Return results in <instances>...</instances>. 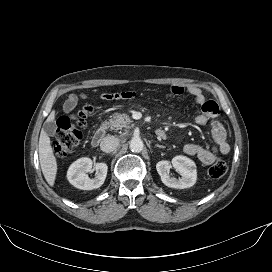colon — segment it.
Segmentation results:
<instances>
[{
  "label": "colon",
  "instance_id": "5ec220e1",
  "mask_svg": "<svg viewBox=\"0 0 272 272\" xmlns=\"http://www.w3.org/2000/svg\"><path fill=\"white\" fill-rule=\"evenodd\" d=\"M92 111L90 105L83 106L74 117L62 116L57 121V131L52 141L54 154L59 158L72 154L78 146L85 119ZM228 170L227 163L223 159H215L209 167V175L212 178H221Z\"/></svg>",
  "mask_w": 272,
  "mask_h": 272
}]
</instances>
